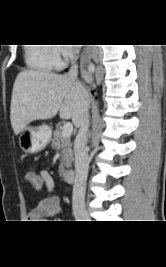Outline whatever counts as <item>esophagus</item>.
Masks as SVG:
<instances>
[{"label":"esophagus","mask_w":166,"mask_h":267,"mask_svg":"<svg viewBox=\"0 0 166 267\" xmlns=\"http://www.w3.org/2000/svg\"><path fill=\"white\" fill-rule=\"evenodd\" d=\"M83 78L85 81L87 82H92V77L90 76V74H88L86 71H83Z\"/></svg>","instance_id":"1"}]
</instances>
